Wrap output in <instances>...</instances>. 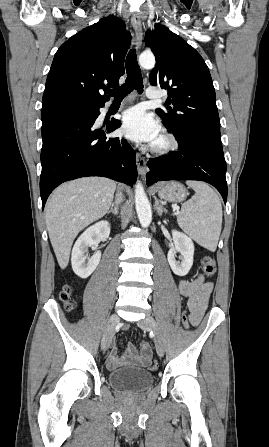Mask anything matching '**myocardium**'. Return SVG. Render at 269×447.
<instances>
[{"instance_id": "f54148a6", "label": "myocardium", "mask_w": 269, "mask_h": 447, "mask_svg": "<svg viewBox=\"0 0 269 447\" xmlns=\"http://www.w3.org/2000/svg\"><path fill=\"white\" fill-rule=\"evenodd\" d=\"M161 134L165 138V145L163 147L156 148L151 144L149 148L150 152L158 158H164L171 155L179 146L178 139L172 132L163 130Z\"/></svg>"}]
</instances>
